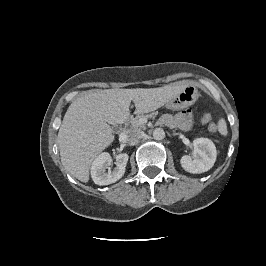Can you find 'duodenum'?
I'll return each instance as SVG.
<instances>
[{"label": "duodenum", "mask_w": 266, "mask_h": 266, "mask_svg": "<svg viewBox=\"0 0 266 266\" xmlns=\"http://www.w3.org/2000/svg\"><path fill=\"white\" fill-rule=\"evenodd\" d=\"M124 124H125V123H123V124H121V125L119 126V131H122V130H123V126H124Z\"/></svg>", "instance_id": "duodenum-1"}]
</instances>
